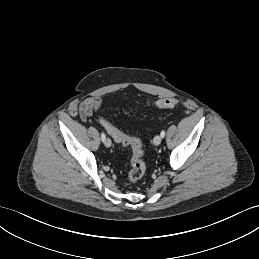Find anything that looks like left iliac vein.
Returning a JSON list of instances; mask_svg holds the SVG:
<instances>
[{"mask_svg": "<svg viewBox=\"0 0 259 259\" xmlns=\"http://www.w3.org/2000/svg\"><path fill=\"white\" fill-rule=\"evenodd\" d=\"M161 141H162V137L160 135L155 136L153 139V143L156 146L160 145Z\"/></svg>", "mask_w": 259, "mask_h": 259, "instance_id": "left-iliac-vein-1", "label": "left iliac vein"}]
</instances>
